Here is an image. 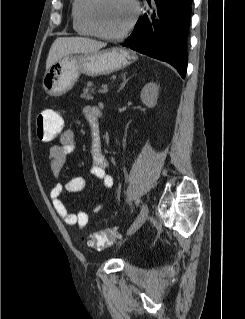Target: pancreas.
I'll list each match as a JSON object with an SVG mask.
<instances>
[{"instance_id":"1","label":"pancreas","mask_w":245,"mask_h":319,"mask_svg":"<svg viewBox=\"0 0 245 319\" xmlns=\"http://www.w3.org/2000/svg\"><path fill=\"white\" fill-rule=\"evenodd\" d=\"M95 89L96 88H95L93 82H91V81L87 82V86L83 89V93H82L81 97L86 99V100L93 99L92 94L95 93Z\"/></svg>"}]
</instances>
